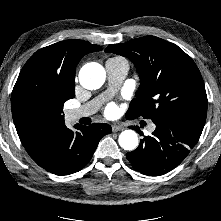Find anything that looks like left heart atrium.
Here are the masks:
<instances>
[{"label": "left heart atrium", "instance_id": "39dd6f15", "mask_svg": "<svg viewBox=\"0 0 221 221\" xmlns=\"http://www.w3.org/2000/svg\"><path fill=\"white\" fill-rule=\"evenodd\" d=\"M105 111H106L107 115L112 116V115L116 114L117 106L114 103H110V104L107 105Z\"/></svg>", "mask_w": 221, "mask_h": 221}]
</instances>
